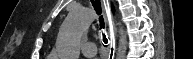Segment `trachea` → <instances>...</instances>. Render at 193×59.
Listing matches in <instances>:
<instances>
[{
    "mask_svg": "<svg viewBox=\"0 0 193 59\" xmlns=\"http://www.w3.org/2000/svg\"><path fill=\"white\" fill-rule=\"evenodd\" d=\"M95 10L97 11L98 10V14L100 15V27H104V20H103V17L101 15V6L99 3H97V5H93ZM103 41L105 44L108 43V40L106 38V35L103 33Z\"/></svg>",
    "mask_w": 193,
    "mask_h": 59,
    "instance_id": "1",
    "label": "trachea"
}]
</instances>
